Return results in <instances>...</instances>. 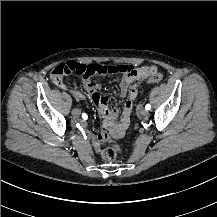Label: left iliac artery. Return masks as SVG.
<instances>
[{"label": "left iliac artery", "instance_id": "left-iliac-artery-1", "mask_svg": "<svg viewBox=\"0 0 217 217\" xmlns=\"http://www.w3.org/2000/svg\"><path fill=\"white\" fill-rule=\"evenodd\" d=\"M150 108H151V105H150V104H147V105L145 106V109H146V110H150Z\"/></svg>", "mask_w": 217, "mask_h": 217}]
</instances>
